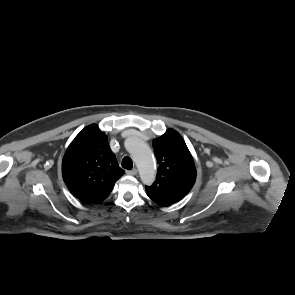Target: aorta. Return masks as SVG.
<instances>
[{
    "instance_id": "obj_1",
    "label": "aorta",
    "mask_w": 295,
    "mask_h": 295,
    "mask_svg": "<svg viewBox=\"0 0 295 295\" xmlns=\"http://www.w3.org/2000/svg\"><path fill=\"white\" fill-rule=\"evenodd\" d=\"M126 149L136 163L141 181L151 185L155 179V164L150 147L142 139L130 137L126 140Z\"/></svg>"
}]
</instances>
